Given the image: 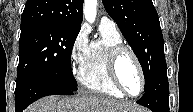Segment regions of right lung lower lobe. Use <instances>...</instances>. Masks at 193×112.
<instances>
[{"mask_svg":"<svg viewBox=\"0 0 193 112\" xmlns=\"http://www.w3.org/2000/svg\"><path fill=\"white\" fill-rule=\"evenodd\" d=\"M75 92L46 81H30L15 89V111L22 112L34 101L48 95H73Z\"/></svg>","mask_w":193,"mask_h":112,"instance_id":"98d812e1","label":"right lung lower lobe"}]
</instances>
